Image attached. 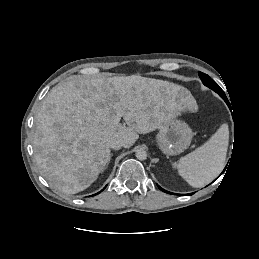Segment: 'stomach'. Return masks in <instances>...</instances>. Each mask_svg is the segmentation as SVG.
Returning a JSON list of instances; mask_svg holds the SVG:
<instances>
[{"instance_id":"stomach-1","label":"stomach","mask_w":259,"mask_h":259,"mask_svg":"<svg viewBox=\"0 0 259 259\" xmlns=\"http://www.w3.org/2000/svg\"><path fill=\"white\" fill-rule=\"evenodd\" d=\"M156 140L164 154L177 155L189 147L192 130L184 121L172 118L160 126Z\"/></svg>"}]
</instances>
